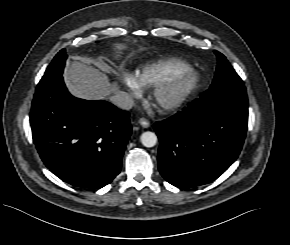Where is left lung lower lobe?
<instances>
[{"mask_svg":"<svg viewBox=\"0 0 290 245\" xmlns=\"http://www.w3.org/2000/svg\"><path fill=\"white\" fill-rule=\"evenodd\" d=\"M247 120L246 88L229 84L208 89L183 111L156 122L161 175L179 188L212 182L237 159Z\"/></svg>","mask_w":290,"mask_h":245,"instance_id":"left-lung-lower-lobe-1","label":"left lung lower lobe"}]
</instances>
